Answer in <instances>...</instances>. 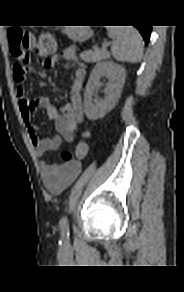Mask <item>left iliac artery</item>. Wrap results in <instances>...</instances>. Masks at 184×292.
<instances>
[{
	"mask_svg": "<svg viewBox=\"0 0 184 292\" xmlns=\"http://www.w3.org/2000/svg\"><path fill=\"white\" fill-rule=\"evenodd\" d=\"M61 239L67 241L69 239V224L67 217L61 219Z\"/></svg>",
	"mask_w": 184,
	"mask_h": 292,
	"instance_id": "obj_1",
	"label": "left iliac artery"
}]
</instances>
